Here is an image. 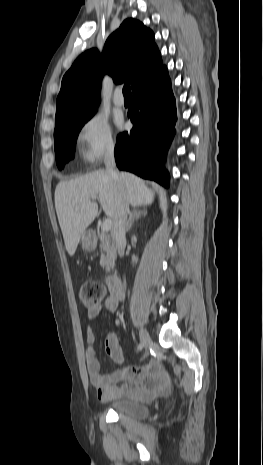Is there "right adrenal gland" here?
Wrapping results in <instances>:
<instances>
[{"instance_id": "2a0ac1e0", "label": "right adrenal gland", "mask_w": 263, "mask_h": 465, "mask_svg": "<svg viewBox=\"0 0 263 465\" xmlns=\"http://www.w3.org/2000/svg\"><path fill=\"white\" fill-rule=\"evenodd\" d=\"M146 215H147V210L145 207L132 210L130 212L129 219L127 221L126 231L128 232L131 229L135 221H137L139 218L144 217Z\"/></svg>"}]
</instances>
